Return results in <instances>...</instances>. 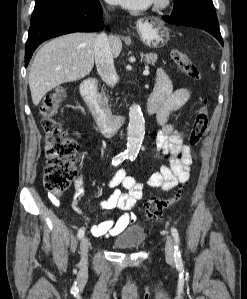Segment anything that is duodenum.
<instances>
[{
  "label": "duodenum",
  "mask_w": 247,
  "mask_h": 299,
  "mask_svg": "<svg viewBox=\"0 0 247 299\" xmlns=\"http://www.w3.org/2000/svg\"><path fill=\"white\" fill-rule=\"evenodd\" d=\"M80 92L92 111L93 117L105 135H112L117 132L125 123V117L119 114H113L106 101L97 92V81L95 79L85 80L80 87ZM146 112L149 116L156 113V108L147 103Z\"/></svg>",
  "instance_id": "duodenum-1"
}]
</instances>
